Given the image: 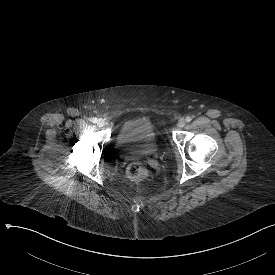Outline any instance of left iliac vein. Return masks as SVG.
Masks as SVG:
<instances>
[{"mask_svg":"<svg viewBox=\"0 0 275 275\" xmlns=\"http://www.w3.org/2000/svg\"><path fill=\"white\" fill-rule=\"evenodd\" d=\"M185 124H186L185 119H184V118H181V119H179V121H178V123H177V126H178L179 128H183V127L185 126Z\"/></svg>","mask_w":275,"mask_h":275,"instance_id":"4c4485c4","label":"left iliac vein"}]
</instances>
